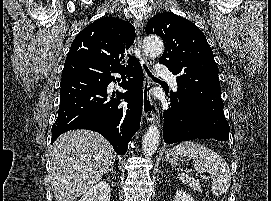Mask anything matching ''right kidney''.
Listing matches in <instances>:
<instances>
[{"label":"right kidney","instance_id":"ca27d5eb","mask_svg":"<svg viewBox=\"0 0 271 201\" xmlns=\"http://www.w3.org/2000/svg\"><path fill=\"white\" fill-rule=\"evenodd\" d=\"M110 185L101 181L88 190L79 201H110Z\"/></svg>","mask_w":271,"mask_h":201}]
</instances>
